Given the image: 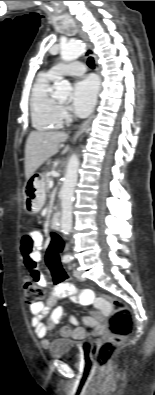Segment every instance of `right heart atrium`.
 I'll use <instances>...</instances> for the list:
<instances>
[{
    "label": "right heart atrium",
    "instance_id": "obj_1",
    "mask_svg": "<svg viewBox=\"0 0 155 395\" xmlns=\"http://www.w3.org/2000/svg\"><path fill=\"white\" fill-rule=\"evenodd\" d=\"M59 114H60L62 121L67 120L69 118V114H68L65 107H60Z\"/></svg>",
    "mask_w": 155,
    "mask_h": 395
}]
</instances>
